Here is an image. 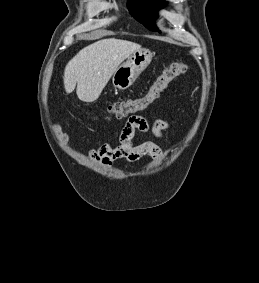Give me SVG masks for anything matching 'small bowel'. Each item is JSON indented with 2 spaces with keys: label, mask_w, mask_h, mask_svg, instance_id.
Masks as SVG:
<instances>
[{
  "label": "small bowel",
  "mask_w": 259,
  "mask_h": 283,
  "mask_svg": "<svg viewBox=\"0 0 259 283\" xmlns=\"http://www.w3.org/2000/svg\"><path fill=\"white\" fill-rule=\"evenodd\" d=\"M65 125L71 127L72 124L66 120H59L56 126ZM169 127V123L163 119L156 120L152 125L140 115L128 118L120 134L122 144L116 147L102 143L97 148L89 151V157L105 167H109L118 159H123L128 163L138 161L142 156H150L158 159L162 156V149L153 141H144L134 144L132 139L136 132H151L155 137L162 138L164 131ZM63 139L68 140L69 134H63Z\"/></svg>",
  "instance_id": "c3829d8e"
}]
</instances>
